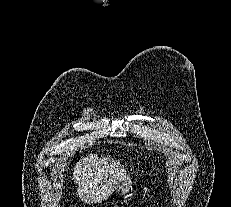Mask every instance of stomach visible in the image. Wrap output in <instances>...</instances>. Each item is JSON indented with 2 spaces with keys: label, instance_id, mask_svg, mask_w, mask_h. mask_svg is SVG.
<instances>
[{
  "label": "stomach",
  "instance_id": "0dacf381",
  "mask_svg": "<svg viewBox=\"0 0 231 207\" xmlns=\"http://www.w3.org/2000/svg\"><path fill=\"white\" fill-rule=\"evenodd\" d=\"M132 189V181L131 179H126L125 181H123L119 187L116 189V193L117 194H122L125 195L126 193H128L130 190Z\"/></svg>",
  "mask_w": 231,
  "mask_h": 207
}]
</instances>
